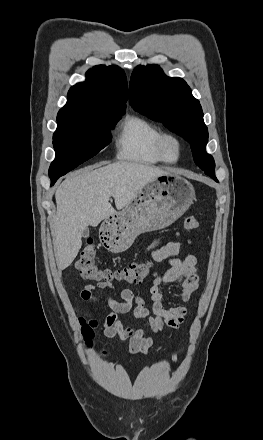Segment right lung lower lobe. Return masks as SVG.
Returning <instances> with one entry per match:
<instances>
[{"mask_svg": "<svg viewBox=\"0 0 263 440\" xmlns=\"http://www.w3.org/2000/svg\"><path fill=\"white\" fill-rule=\"evenodd\" d=\"M57 180L52 181V185L56 182Z\"/></svg>", "mask_w": 263, "mask_h": 440, "instance_id": "98d812e1", "label": "right lung lower lobe"}]
</instances>
